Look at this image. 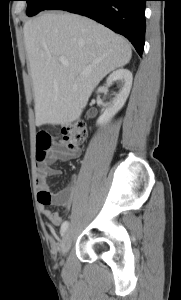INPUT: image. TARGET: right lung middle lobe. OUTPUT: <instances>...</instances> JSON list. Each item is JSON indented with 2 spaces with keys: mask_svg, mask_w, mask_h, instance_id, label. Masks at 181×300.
I'll use <instances>...</instances> for the list:
<instances>
[{
  "mask_svg": "<svg viewBox=\"0 0 181 300\" xmlns=\"http://www.w3.org/2000/svg\"><path fill=\"white\" fill-rule=\"evenodd\" d=\"M27 1V15L34 16L43 10H49L57 0H25Z\"/></svg>",
  "mask_w": 181,
  "mask_h": 300,
  "instance_id": "right-lung-middle-lobe-1",
  "label": "right lung middle lobe"
}]
</instances>
